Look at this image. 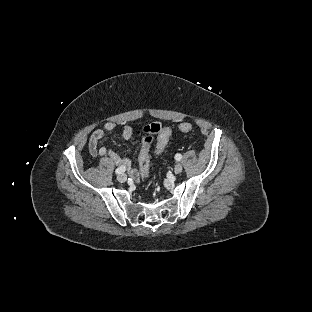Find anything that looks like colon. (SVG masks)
<instances>
[{
  "mask_svg": "<svg viewBox=\"0 0 312 312\" xmlns=\"http://www.w3.org/2000/svg\"><path fill=\"white\" fill-rule=\"evenodd\" d=\"M161 130V124L158 122H152L144 128L146 132V141H151L154 139L155 134H157ZM181 132L186 133L191 130V125L189 123H184L180 127ZM174 132L172 129L167 128L163 130L157 137L155 141V148L157 151L162 152L166 148V142L172 138ZM146 143V142H145ZM139 161V173L141 175L142 180H145L150 172V157L149 153L146 149H143L138 156Z\"/></svg>",
  "mask_w": 312,
  "mask_h": 312,
  "instance_id": "obj_1",
  "label": "colon"
}]
</instances>
